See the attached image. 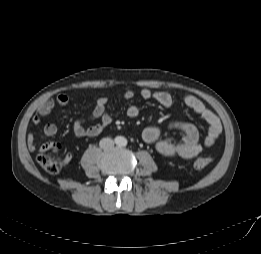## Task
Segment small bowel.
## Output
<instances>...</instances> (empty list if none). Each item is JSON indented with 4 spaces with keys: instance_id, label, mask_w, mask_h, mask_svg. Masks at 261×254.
<instances>
[{
    "instance_id": "small-bowel-1",
    "label": "small bowel",
    "mask_w": 261,
    "mask_h": 254,
    "mask_svg": "<svg viewBox=\"0 0 261 254\" xmlns=\"http://www.w3.org/2000/svg\"><path fill=\"white\" fill-rule=\"evenodd\" d=\"M135 93L132 90H126L123 98L127 101L133 100ZM140 97L143 100L154 99L163 107L172 110L174 100L172 96L166 92H152L150 89H142ZM95 106L86 118H80L73 124V132L78 137H95L99 135L103 129L111 122V116L107 111L108 98L102 95L95 96ZM74 98L67 94H59L56 97H50L44 101L37 109L32 118V124L38 126L42 119L47 117L56 105H67ZM184 105L199 115L207 124V133L203 140H200L197 127L188 121L171 120L168 124L170 129L178 130L183 133L181 140L176 141L172 137H161V130L156 126L146 127L142 131V139L146 143L154 144L157 152L165 157H180L191 159L199 155L205 148L213 146L222 133V125L219 118L209 110L202 101L193 95H185L183 97ZM140 114L139 106L131 104L126 109V115L129 118H136ZM101 120V123L86 127L87 122ZM44 133L47 136H53L57 133V126L54 123H47L44 126ZM28 148L35 150V141L33 132H29L27 136ZM52 146V144H46ZM60 147L59 145H55ZM71 157L69 154L65 156V164L69 163Z\"/></svg>"
}]
</instances>
